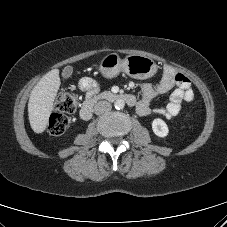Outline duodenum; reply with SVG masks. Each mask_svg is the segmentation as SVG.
<instances>
[{
  "label": "duodenum",
  "instance_id": "obj_1",
  "mask_svg": "<svg viewBox=\"0 0 227 227\" xmlns=\"http://www.w3.org/2000/svg\"><path fill=\"white\" fill-rule=\"evenodd\" d=\"M98 100H104L109 102L122 100L130 106H133L136 104V99L131 94L104 92L97 96L91 97L84 102L80 110V117L83 120H89L92 117L93 107Z\"/></svg>",
  "mask_w": 227,
  "mask_h": 227
}]
</instances>
